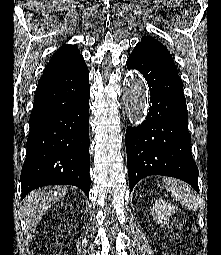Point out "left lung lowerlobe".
<instances>
[{
    "label": "left lung lower lobe",
    "instance_id": "1",
    "mask_svg": "<svg viewBox=\"0 0 221 255\" xmlns=\"http://www.w3.org/2000/svg\"><path fill=\"white\" fill-rule=\"evenodd\" d=\"M147 80L150 108L146 120L126 131L130 192L149 175L179 178L197 192L198 168L193 160L183 83L178 72L161 57L135 47L127 60Z\"/></svg>",
    "mask_w": 221,
    "mask_h": 255
}]
</instances>
